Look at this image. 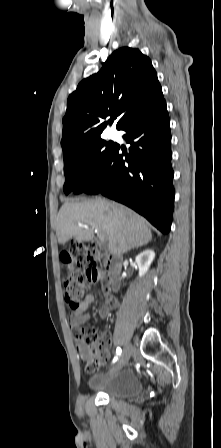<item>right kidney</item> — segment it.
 <instances>
[{
  "mask_svg": "<svg viewBox=\"0 0 221 448\" xmlns=\"http://www.w3.org/2000/svg\"><path fill=\"white\" fill-rule=\"evenodd\" d=\"M154 257L155 252L151 249H147L136 256L135 262L139 268L140 277L144 276L147 273Z\"/></svg>",
  "mask_w": 221,
  "mask_h": 448,
  "instance_id": "ca27d5eb",
  "label": "right kidney"
}]
</instances>
